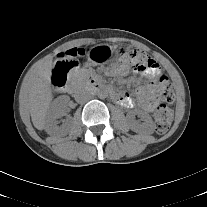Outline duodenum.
Segmentation results:
<instances>
[{"label": "duodenum", "instance_id": "obj_1", "mask_svg": "<svg viewBox=\"0 0 207 207\" xmlns=\"http://www.w3.org/2000/svg\"><path fill=\"white\" fill-rule=\"evenodd\" d=\"M90 89L92 91H105L107 90V88L101 84L100 82L96 81V80H92L90 82ZM113 97L115 96V93H112Z\"/></svg>", "mask_w": 207, "mask_h": 207}]
</instances>
